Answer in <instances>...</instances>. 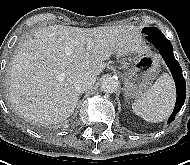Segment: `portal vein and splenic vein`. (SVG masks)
I'll return each instance as SVG.
<instances>
[{"label":"portal vein and splenic vein","mask_w":190,"mask_h":165,"mask_svg":"<svg viewBox=\"0 0 190 165\" xmlns=\"http://www.w3.org/2000/svg\"><path fill=\"white\" fill-rule=\"evenodd\" d=\"M92 46H93V41H92V40H89L88 43H87L86 49L89 50V49L92 48Z\"/></svg>","instance_id":"1"}]
</instances>
